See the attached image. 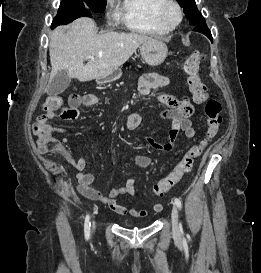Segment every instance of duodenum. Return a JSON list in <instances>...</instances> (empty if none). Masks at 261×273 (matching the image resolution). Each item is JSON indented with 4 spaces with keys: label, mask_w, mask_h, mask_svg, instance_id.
<instances>
[{
    "label": "duodenum",
    "mask_w": 261,
    "mask_h": 273,
    "mask_svg": "<svg viewBox=\"0 0 261 273\" xmlns=\"http://www.w3.org/2000/svg\"><path fill=\"white\" fill-rule=\"evenodd\" d=\"M134 117L133 126H138L141 123V117L138 114H132Z\"/></svg>",
    "instance_id": "duodenum-1"
}]
</instances>
